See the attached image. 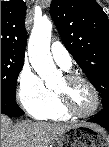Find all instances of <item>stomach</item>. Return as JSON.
<instances>
[{
  "label": "stomach",
  "instance_id": "obj_1",
  "mask_svg": "<svg viewBox=\"0 0 109 147\" xmlns=\"http://www.w3.org/2000/svg\"><path fill=\"white\" fill-rule=\"evenodd\" d=\"M59 147H109V135L103 129L77 126L58 136Z\"/></svg>",
  "mask_w": 109,
  "mask_h": 147
}]
</instances>
